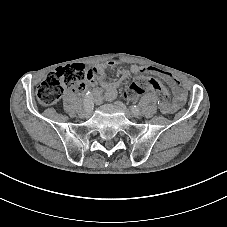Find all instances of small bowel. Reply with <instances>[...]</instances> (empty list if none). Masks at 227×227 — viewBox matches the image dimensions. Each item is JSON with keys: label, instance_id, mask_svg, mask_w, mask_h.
<instances>
[{"label": "small bowel", "instance_id": "1", "mask_svg": "<svg viewBox=\"0 0 227 227\" xmlns=\"http://www.w3.org/2000/svg\"><path fill=\"white\" fill-rule=\"evenodd\" d=\"M116 61H108L103 64H99L93 67H90L86 73L87 83L91 89V95L93 100L97 103L103 101L110 102L115 99L117 94V89L120 84L126 80L131 75L150 72L161 79H163L172 89L174 94V100L166 104H160V109L163 113L169 114L173 113L179 109L186 99V92L180 82L167 71H163L154 67H143L139 65H132L129 69L120 68L121 78L118 81L109 82L106 80L105 70L107 67H112L118 65ZM98 85H101L103 89L99 88Z\"/></svg>", "mask_w": 227, "mask_h": 227}]
</instances>
